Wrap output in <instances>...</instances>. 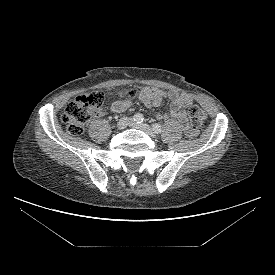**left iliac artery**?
Listing matches in <instances>:
<instances>
[{
  "mask_svg": "<svg viewBox=\"0 0 275 275\" xmlns=\"http://www.w3.org/2000/svg\"><path fill=\"white\" fill-rule=\"evenodd\" d=\"M152 127H153V130H154L155 133L158 134V133H161V132H162V127H161L160 124L155 123V124L152 125Z\"/></svg>",
  "mask_w": 275,
  "mask_h": 275,
  "instance_id": "44dca946",
  "label": "left iliac artery"
}]
</instances>
